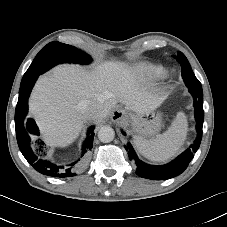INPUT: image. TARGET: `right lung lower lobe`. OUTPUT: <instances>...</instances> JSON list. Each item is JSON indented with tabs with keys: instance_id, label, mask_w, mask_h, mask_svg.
<instances>
[{
	"instance_id": "obj_1",
	"label": "right lung lower lobe",
	"mask_w": 227,
	"mask_h": 227,
	"mask_svg": "<svg viewBox=\"0 0 227 227\" xmlns=\"http://www.w3.org/2000/svg\"><path fill=\"white\" fill-rule=\"evenodd\" d=\"M38 76L39 75L34 76L30 80L22 83L20 86L18 103L15 110V129L19 149L33 168L44 175L53 177L75 176L73 171L78 167L79 164L75 165L78 161L70 164L69 167L64 169L63 167L56 166L47 160L39 159L31 149L30 134L38 135L39 129L33 119L26 120V115L28 113V99ZM93 129L94 127H91L88 130L87 138L82 147V156L93 146Z\"/></svg>"
}]
</instances>
